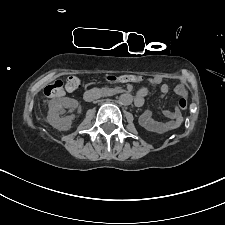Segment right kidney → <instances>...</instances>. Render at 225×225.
I'll return each mask as SVG.
<instances>
[{
  "instance_id": "1",
  "label": "right kidney",
  "mask_w": 225,
  "mask_h": 225,
  "mask_svg": "<svg viewBox=\"0 0 225 225\" xmlns=\"http://www.w3.org/2000/svg\"><path fill=\"white\" fill-rule=\"evenodd\" d=\"M77 106V100L72 98L64 97L53 99L49 103L47 121L50 125L60 131L69 130L71 128L74 115L60 117L59 113L62 112L64 108H70L74 110L77 108Z\"/></svg>"
}]
</instances>
